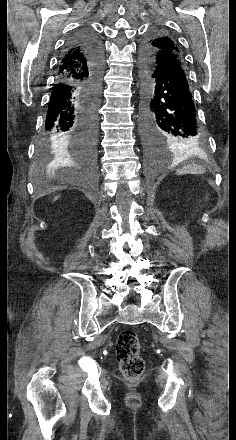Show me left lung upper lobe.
<instances>
[{
    "label": "left lung upper lobe",
    "mask_w": 236,
    "mask_h": 440,
    "mask_svg": "<svg viewBox=\"0 0 236 440\" xmlns=\"http://www.w3.org/2000/svg\"><path fill=\"white\" fill-rule=\"evenodd\" d=\"M172 56L182 57V54L177 43L165 31H152L142 43V61L156 63L161 58Z\"/></svg>",
    "instance_id": "obj_1"
}]
</instances>
